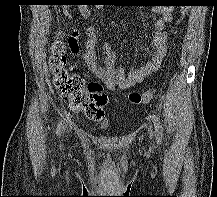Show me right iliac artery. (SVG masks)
I'll return each instance as SVG.
<instances>
[{"instance_id": "obj_1", "label": "right iliac artery", "mask_w": 217, "mask_h": 197, "mask_svg": "<svg viewBox=\"0 0 217 197\" xmlns=\"http://www.w3.org/2000/svg\"><path fill=\"white\" fill-rule=\"evenodd\" d=\"M61 126H62V123L60 122V123L58 124V126H57V131H56L57 135H60Z\"/></svg>"}]
</instances>
